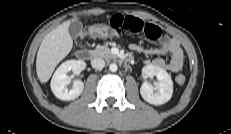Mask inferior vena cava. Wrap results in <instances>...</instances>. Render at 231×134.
Listing matches in <instances>:
<instances>
[{"instance_id":"inferior-vena-cava-1","label":"inferior vena cava","mask_w":231,"mask_h":134,"mask_svg":"<svg viewBox=\"0 0 231 134\" xmlns=\"http://www.w3.org/2000/svg\"><path fill=\"white\" fill-rule=\"evenodd\" d=\"M91 65L95 69H102L105 66V61L101 58L91 60Z\"/></svg>"}]
</instances>
